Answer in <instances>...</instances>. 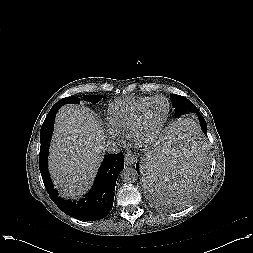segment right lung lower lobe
Wrapping results in <instances>:
<instances>
[{"mask_svg":"<svg viewBox=\"0 0 253 253\" xmlns=\"http://www.w3.org/2000/svg\"><path fill=\"white\" fill-rule=\"evenodd\" d=\"M60 107L54 105L48 113L42 126L53 129L55 115ZM50 143V142H49ZM39 169L45 188L53 202L67 215L84 221H95L106 217L113 207L116 179L124 168L123 154H108L98 170L91 191L79 201L64 200L58 196L53 188L48 173V149L49 146L40 148Z\"/></svg>","mask_w":253,"mask_h":253,"instance_id":"right-lung-lower-lobe-1","label":"right lung lower lobe"}]
</instances>
